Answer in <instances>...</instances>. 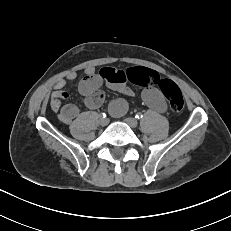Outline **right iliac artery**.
Masks as SVG:
<instances>
[{"mask_svg":"<svg viewBox=\"0 0 231 231\" xmlns=\"http://www.w3.org/2000/svg\"><path fill=\"white\" fill-rule=\"evenodd\" d=\"M101 117L105 118V117H106V114H105V113H102V114H101Z\"/></svg>","mask_w":231,"mask_h":231,"instance_id":"obj_1","label":"right iliac artery"}]
</instances>
